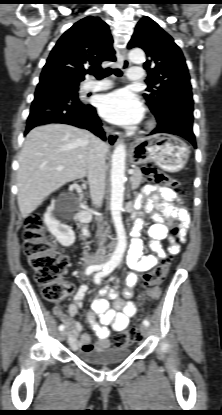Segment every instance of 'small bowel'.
Instances as JSON below:
<instances>
[{
    "label": "small bowel",
    "mask_w": 222,
    "mask_h": 415,
    "mask_svg": "<svg viewBox=\"0 0 222 415\" xmlns=\"http://www.w3.org/2000/svg\"><path fill=\"white\" fill-rule=\"evenodd\" d=\"M142 195L147 200L144 211L139 214L137 226L139 227L141 224L140 217L153 212L154 224L148 229L150 238L148 245L156 256L144 255L143 241L135 236L127 255V264L133 271L126 277V285L122 289L121 295L115 289L105 287L100 290L99 297L91 303L87 322L96 333L98 339L96 343L93 344L90 335L82 332L81 324L73 320L86 295L88 289L86 284H81L78 287L67 308V314L62 313L58 308L55 309V313L68 328V342L73 350L101 351L110 347L112 334L110 328L114 332L124 331L128 327L129 319L137 312L136 304L132 300L134 287L138 282L137 273L153 269L158 263V258L166 256V251L160 243L162 239L167 237L168 230L165 221L178 220L183 229L189 226L190 216L181 205H173L174 202L180 204V199L171 189L146 185L142 190ZM168 252L177 254L179 246H170ZM110 302H112V307H110ZM95 316L99 317L100 322L96 321Z\"/></svg>",
    "instance_id": "obj_1"
}]
</instances>
